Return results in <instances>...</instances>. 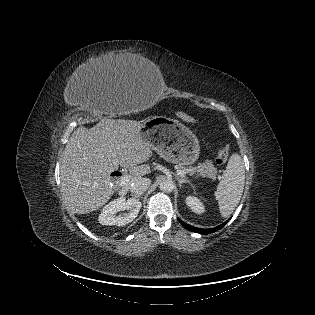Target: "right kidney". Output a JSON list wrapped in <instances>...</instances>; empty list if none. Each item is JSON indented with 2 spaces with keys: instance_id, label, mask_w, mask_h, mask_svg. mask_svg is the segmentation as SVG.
I'll return each mask as SVG.
<instances>
[{
  "instance_id": "ca27d5eb",
  "label": "right kidney",
  "mask_w": 315,
  "mask_h": 315,
  "mask_svg": "<svg viewBox=\"0 0 315 315\" xmlns=\"http://www.w3.org/2000/svg\"><path fill=\"white\" fill-rule=\"evenodd\" d=\"M142 204L139 200L120 197L107 204L99 215V223L109 226H124L132 222L138 215ZM127 210V213L116 215L118 212Z\"/></svg>"
}]
</instances>
